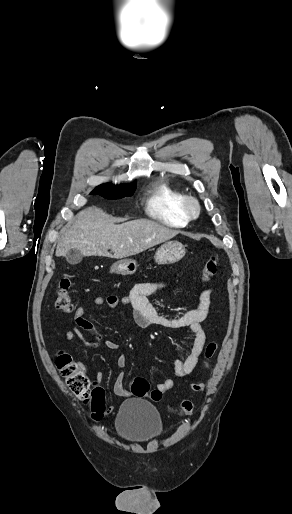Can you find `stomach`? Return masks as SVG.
<instances>
[{
  "label": "stomach",
  "mask_w": 292,
  "mask_h": 514,
  "mask_svg": "<svg viewBox=\"0 0 292 514\" xmlns=\"http://www.w3.org/2000/svg\"><path fill=\"white\" fill-rule=\"evenodd\" d=\"M183 256H185V248L180 242H166L158 248L154 260L157 264H175L182 260ZM136 270L135 260H119L110 268L112 274H122V276L135 274Z\"/></svg>",
  "instance_id": "1"
}]
</instances>
